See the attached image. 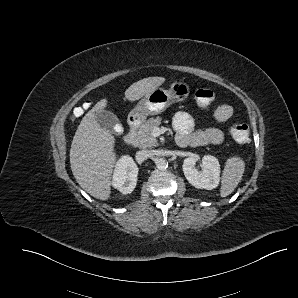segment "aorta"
Masks as SVG:
<instances>
[{"label":"aorta","instance_id":"obj_1","mask_svg":"<svg viewBox=\"0 0 298 298\" xmlns=\"http://www.w3.org/2000/svg\"><path fill=\"white\" fill-rule=\"evenodd\" d=\"M157 169L165 170L168 167V162L165 158H158L155 162Z\"/></svg>","mask_w":298,"mask_h":298}]
</instances>
